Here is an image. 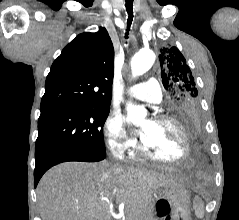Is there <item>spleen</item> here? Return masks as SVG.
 Segmentation results:
<instances>
[{
    "instance_id": "3e777b00",
    "label": "spleen",
    "mask_w": 239,
    "mask_h": 220,
    "mask_svg": "<svg viewBox=\"0 0 239 220\" xmlns=\"http://www.w3.org/2000/svg\"><path fill=\"white\" fill-rule=\"evenodd\" d=\"M193 208L195 210V215L197 218H203L204 217V205L199 197H195Z\"/></svg>"
}]
</instances>
